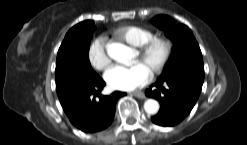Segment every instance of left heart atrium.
Here are the masks:
<instances>
[{
    "label": "left heart atrium",
    "mask_w": 247,
    "mask_h": 145,
    "mask_svg": "<svg viewBox=\"0 0 247 145\" xmlns=\"http://www.w3.org/2000/svg\"><path fill=\"white\" fill-rule=\"evenodd\" d=\"M151 71L142 62L131 65H114L105 75V81L112 89L130 91L147 84L151 80Z\"/></svg>",
    "instance_id": "left-heart-atrium-1"
}]
</instances>
